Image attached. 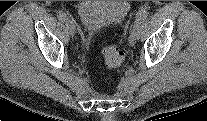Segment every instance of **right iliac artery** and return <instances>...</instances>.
<instances>
[{
  "label": "right iliac artery",
  "instance_id": "obj_1",
  "mask_svg": "<svg viewBox=\"0 0 207 121\" xmlns=\"http://www.w3.org/2000/svg\"><path fill=\"white\" fill-rule=\"evenodd\" d=\"M58 18L61 21H65V20H67V15L63 12H60L59 15H58Z\"/></svg>",
  "mask_w": 207,
  "mask_h": 121
}]
</instances>
